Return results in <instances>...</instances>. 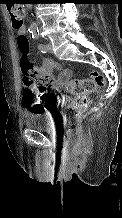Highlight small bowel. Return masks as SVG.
<instances>
[{"instance_id": "obj_1", "label": "small bowel", "mask_w": 122, "mask_h": 218, "mask_svg": "<svg viewBox=\"0 0 122 218\" xmlns=\"http://www.w3.org/2000/svg\"><path fill=\"white\" fill-rule=\"evenodd\" d=\"M18 34H26L25 26H22V28L18 30ZM32 68H33V73L37 77L39 85L45 87L49 86L56 91L61 90L64 84L72 76V72L70 69L68 68L62 69L61 66L51 58H45L41 66H32ZM53 70H58L60 71V73L57 76H53L52 75ZM39 112H42V107H41V111Z\"/></svg>"}]
</instances>
